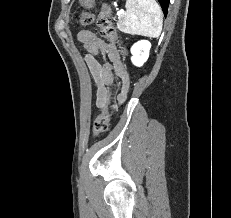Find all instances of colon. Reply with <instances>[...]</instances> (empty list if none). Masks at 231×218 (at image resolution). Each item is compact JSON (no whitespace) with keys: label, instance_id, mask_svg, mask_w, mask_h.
Masks as SVG:
<instances>
[{"label":"colon","instance_id":"colon-1","mask_svg":"<svg viewBox=\"0 0 231 218\" xmlns=\"http://www.w3.org/2000/svg\"><path fill=\"white\" fill-rule=\"evenodd\" d=\"M79 1H80V5L84 8L85 11L81 12L77 16L76 19L77 24L79 26H88L94 20V17L89 10L93 8L95 0H79ZM96 22L100 29L101 36L114 42L118 46L121 55L126 56L128 51L118 39L116 31L113 27V17L109 6L105 5L102 7ZM110 99H111V91L109 89L102 103L101 111L94 121L93 134L95 137L99 136L100 134L108 130L109 121H110V109H109Z\"/></svg>","mask_w":231,"mask_h":218}]
</instances>
